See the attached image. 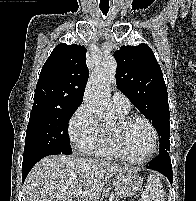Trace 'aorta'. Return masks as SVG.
Wrapping results in <instances>:
<instances>
[{"instance_id": "1", "label": "aorta", "mask_w": 196, "mask_h": 201, "mask_svg": "<svg viewBox=\"0 0 196 201\" xmlns=\"http://www.w3.org/2000/svg\"><path fill=\"white\" fill-rule=\"evenodd\" d=\"M117 64L112 56L98 61L86 86L84 101L96 118L103 122L115 116L110 103V90L115 80Z\"/></svg>"}]
</instances>
